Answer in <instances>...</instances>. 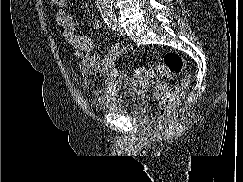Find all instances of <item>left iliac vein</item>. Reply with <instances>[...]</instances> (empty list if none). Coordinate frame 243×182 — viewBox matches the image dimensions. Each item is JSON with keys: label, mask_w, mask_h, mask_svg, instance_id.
<instances>
[{"label": "left iliac vein", "mask_w": 243, "mask_h": 182, "mask_svg": "<svg viewBox=\"0 0 243 182\" xmlns=\"http://www.w3.org/2000/svg\"><path fill=\"white\" fill-rule=\"evenodd\" d=\"M118 31H119L120 36H126V32L123 28L119 27Z\"/></svg>", "instance_id": "4c4485c4"}]
</instances>
